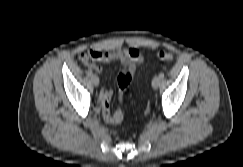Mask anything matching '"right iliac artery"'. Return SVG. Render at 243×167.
Instances as JSON below:
<instances>
[{
    "label": "right iliac artery",
    "mask_w": 243,
    "mask_h": 167,
    "mask_svg": "<svg viewBox=\"0 0 243 167\" xmlns=\"http://www.w3.org/2000/svg\"><path fill=\"white\" fill-rule=\"evenodd\" d=\"M87 74H88L89 76L93 75V73H92L91 70H88V71H87Z\"/></svg>",
    "instance_id": "1"
}]
</instances>
